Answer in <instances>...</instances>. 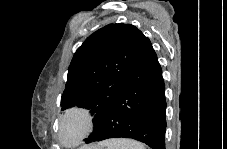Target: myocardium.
Wrapping results in <instances>:
<instances>
[{
  "label": "myocardium",
  "instance_id": "myocardium-1",
  "mask_svg": "<svg viewBox=\"0 0 227 149\" xmlns=\"http://www.w3.org/2000/svg\"><path fill=\"white\" fill-rule=\"evenodd\" d=\"M93 128V118L89 110L74 106L66 109L59 118L57 139L63 146L80 144Z\"/></svg>",
  "mask_w": 227,
  "mask_h": 149
}]
</instances>
